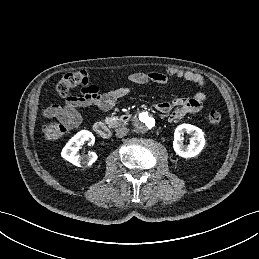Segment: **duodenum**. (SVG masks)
Listing matches in <instances>:
<instances>
[{"label":"duodenum","mask_w":259,"mask_h":259,"mask_svg":"<svg viewBox=\"0 0 259 259\" xmlns=\"http://www.w3.org/2000/svg\"><path fill=\"white\" fill-rule=\"evenodd\" d=\"M130 121V117L129 116H122L118 119L115 120V123L117 125H121V124H127ZM94 131L96 132V134L98 136H100L101 138H109L111 135V131L109 126L101 121H98L94 124Z\"/></svg>","instance_id":"duodenum-1"}]
</instances>
